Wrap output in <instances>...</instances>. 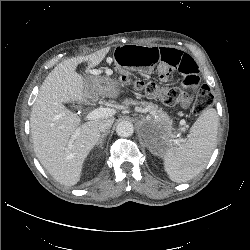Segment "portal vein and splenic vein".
I'll return each instance as SVG.
<instances>
[{
  "mask_svg": "<svg viewBox=\"0 0 250 250\" xmlns=\"http://www.w3.org/2000/svg\"><path fill=\"white\" fill-rule=\"evenodd\" d=\"M137 111L139 112H144V110H141L140 108H137ZM115 114V110L111 109V108H96L92 111H90L86 116H85V120H94V119H98L101 117H107V116H112ZM79 131H76L75 135H78ZM176 143L179 142V140H175Z\"/></svg>",
  "mask_w": 250,
  "mask_h": 250,
  "instance_id": "obj_1",
  "label": "portal vein and splenic vein"
}]
</instances>
